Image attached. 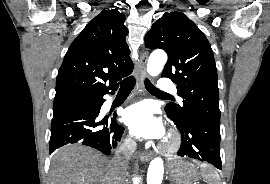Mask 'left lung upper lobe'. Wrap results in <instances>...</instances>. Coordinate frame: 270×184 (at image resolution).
<instances>
[{
	"mask_svg": "<svg viewBox=\"0 0 270 184\" xmlns=\"http://www.w3.org/2000/svg\"><path fill=\"white\" fill-rule=\"evenodd\" d=\"M147 48L168 53L162 77L177 84L183 105H167L165 111L179 124L192 117L220 124L217 69L211 45L185 14L170 12L158 19L145 35Z\"/></svg>",
	"mask_w": 270,
	"mask_h": 184,
	"instance_id": "obj_1",
	"label": "left lung upper lobe"
}]
</instances>
